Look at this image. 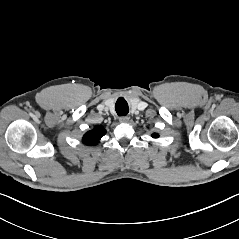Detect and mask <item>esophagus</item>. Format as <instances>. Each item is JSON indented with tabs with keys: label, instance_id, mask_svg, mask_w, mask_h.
Here are the masks:
<instances>
[{
	"label": "esophagus",
	"instance_id": "esophagus-1",
	"mask_svg": "<svg viewBox=\"0 0 239 239\" xmlns=\"http://www.w3.org/2000/svg\"><path fill=\"white\" fill-rule=\"evenodd\" d=\"M119 121H120L121 123H127V122L129 121V117H127V116H121V117L119 118Z\"/></svg>",
	"mask_w": 239,
	"mask_h": 239
}]
</instances>
